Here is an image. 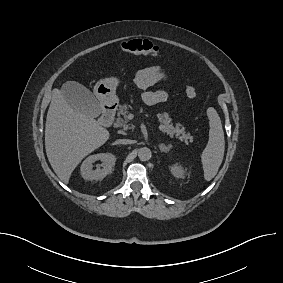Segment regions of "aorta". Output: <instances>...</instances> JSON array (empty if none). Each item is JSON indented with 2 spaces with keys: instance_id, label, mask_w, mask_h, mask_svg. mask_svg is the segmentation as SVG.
Listing matches in <instances>:
<instances>
[{
  "instance_id": "aorta-1",
  "label": "aorta",
  "mask_w": 283,
  "mask_h": 283,
  "mask_svg": "<svg viewBox=\"0 0 283 283\" xmlns=\"http://www.w3.org/2000/svg\"><path fill=\"white\" fill-rule=\"evenodd\" d=\"M152 156L151 150L147 147H142L138 151V157L141 161H148Z\"/></svg>"
}]
</instances>
